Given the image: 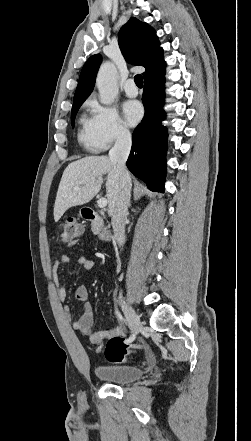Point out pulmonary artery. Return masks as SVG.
I'll list each match as a JSON object with an SVG mask.
<instances>
[{
	"label": "pulmonary artery",
	"mask_w": 251,
	"mask_h": 441,
	"mask_svg": "<svg viewBox=\"0 0 251 441\" xmlns=\"http://www.w3.org/2000/svg\"><path fill=\"white\" fill-rule=\"evenodd\" d=\"M124 90L129 97H135L138 95V88L135 85L133 79H128L124 84Z\"/></svg>",
	"instance_id": "e3ab8cb5"
}]
</instances>
